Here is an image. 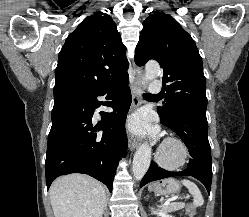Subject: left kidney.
Returning <instances> with one entry per match:
<instances>
[{
    "mask_svg": "<svg viewBox=\"0 0 249 217\" xmlns=\"http://www.w3.org/2000/svg\"><path fill=\"white\" fill-rule=\"evenodd\" d=\"M152 212L160 217H172L171 215H167L163 210H153L152 208Z\"/></svg>",
    "mask_w": 249,
    "mask_h": 217,
    "instance_id": "1",
    "label": "left kidney"
}]
</instances>
